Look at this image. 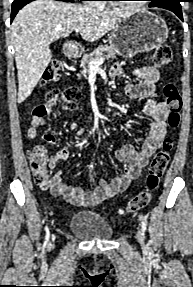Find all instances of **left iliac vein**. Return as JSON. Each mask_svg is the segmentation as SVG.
<instances>
[{
	"label": "left iliac vein",
	"instance_id": "left-iliac-vein-1",
	"mask_svg": "<svg viewBox=\"0 0 193 287\" xmlns=\"http://www.w3.org/2000/svg\"><path fill=\"white\" fill-rule=\"evenodd\" d=\"M136 238L139 242H142L143 241V233L141 230H138L137 233H136Z\"/></svg>",
	"mask_w": 193,
	"mask_h": 287
}]
</instances>
